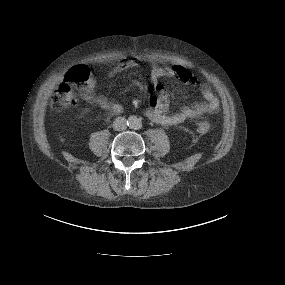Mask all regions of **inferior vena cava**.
Segmentation results:
<instances>
[{
	"mask_svg": "<svg viewBox=\"0 0 285 285\" xmlns=\"http://www.w3.org/2000/svg\"><path fill=\"white\" fill-rule=\"evenodd\" d=\"M115 131H124L127 129V120L124 117H117L113 122Z\"/></svg>",
	"mask_w": 285,
	"mask_h": 285,
	"instance_id": "obj_1",
	"label": "inferior vena cava"
}]
</instances>
